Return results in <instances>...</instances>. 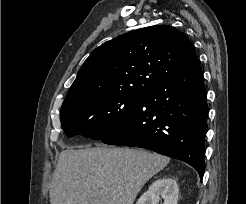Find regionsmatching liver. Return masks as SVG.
<instances>
[{
	"label": "liver",
	"instance_id": "obj_1",
	"mask_svg": "<svg viewBox=\"0 0 246 204\" xmlns=\"http://www.w3.org/2000/svg\"><path fill=\"white\" fill-rule=\"evenodd\" d=\"M170 158L142 149L63 150L53 173L51 204H133L143 185Z\"/></svg>",
	"mask_w": 246,
	"mask_h": 204
}]
</instances>
